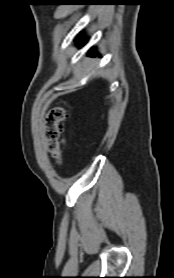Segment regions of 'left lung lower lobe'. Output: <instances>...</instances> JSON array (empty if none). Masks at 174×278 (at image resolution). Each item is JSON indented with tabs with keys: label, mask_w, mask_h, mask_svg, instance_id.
Masks as SVG:
<instances>
[{
	"label": "left lung lower lobe",
	"mask_w": 174,
	"mask_h": 278,
	"mask_svg": "<svg viewBox=\"0 0 174 278\" xmlns=\"http://www.w3.org/2000/svg\"><path fill=\"white\" fill-rule=\"evenodd\" d=\"M76 41L78 42V45H79V46H83V45H84V42H82L81 40L76 39ZM90 56H95L94 51L91 52V55H90Z\"/></svg>",
	"instance_id": "1"
}]
</instances>
